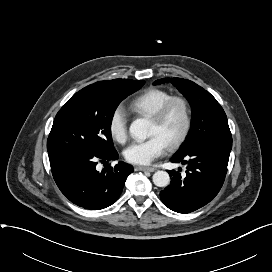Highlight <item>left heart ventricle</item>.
Segmentation results:
<instances>
[{
	"label": "left heart ventricle",
	"instance_id": "obj_1",
	"mask_svg": "<svg viewBox=\"0 0 272 272\" xmlns=\"http://www.w3.org/2000/svg\"><path fill=\"white\" fill-rule=\"evenodd\" d=\"M183 127V112L180 105H173L161 122L150 120L149 136L160 135L167 145L175 139Z\"/></svg>",
	"mask_w": 272,
	"mask_h": 272
}]
</instances>
